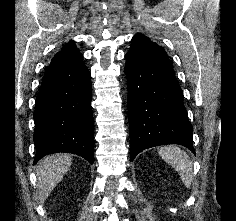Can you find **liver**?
Here are the masks:
<instances>
[{
  "mask_svg": "<svg viewBox=\"0 0 236 221\" xmlns=\"http://www.w3.org/2000/svg\"><path fill=\"white\" fill-rule=\"evenodd\" d=\"M72 164L71 156L67 154H53L43 158L36 170L38 200L43 203L56 185L62 180Z\"/></svg>",
  "mask_w": 236,
  "mask_h": 221,
  "instance_id": "liver-1",
  "label": "liver"
}]
</instances>
